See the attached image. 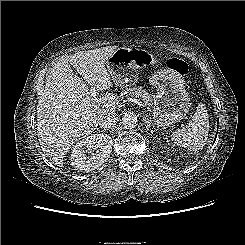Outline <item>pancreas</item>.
Returning <instances> with one entry per match:
<instances>
[{
	"mask_svg": "<svg viewBox=\"0 0 245 245\" xmlns=\"http://www.w3.org/2000/svg\"><path fill=\"white\" fill-rule=\"evenodd\" d=\"M131 97L140 98L148 106L153 105V95H151L142 87L126 88L121 92L119 100L124 101L126 98L128 99Z\"/></svg>",
	"mask_w": 245,
	"mask_h": 245,
	"instance_id": "pancreas-1",
	"label": "pancreas"
}]
</instances>
